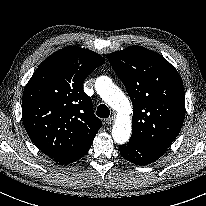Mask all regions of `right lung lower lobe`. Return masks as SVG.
I'll return each instance as SVG.
<instances>
[{"instance_id":"obj_1","label":"right lung lower lobe","mask_w":206,"mask_h":206,"mask_svg":"<svg viewBox=\"0 0 206 206\" xmlns=\"http://www.w3.org/2000/svg\"><path fill=\"white\" fill-rule=\"evenodd\" d=\"M92 142L88 143L87 145H85L84 147L80 148L79 150H77L73 153H70V154H67L63 157L55 159V161L59 162L61 164H69V163H72V162L79 160L88 152V150L91 147Z\"/></svg>"}]
</instances>
